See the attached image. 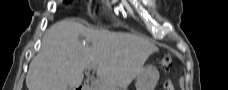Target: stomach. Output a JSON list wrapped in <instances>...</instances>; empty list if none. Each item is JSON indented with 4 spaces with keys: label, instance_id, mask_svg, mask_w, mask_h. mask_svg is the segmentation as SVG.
Returning <instances> with one entry per match:
<instances>
[{
    "label": "stomach",
    "instance_id": "0dacf381",
    "mask_svg": "<svg viewBox=\"0 0 228 90\" xmlns=\"http://www.w3.org/2000/svg\"><path fill=\"white\" fill-rule=\"evenodd\" d=\"M158 78L159 72L155 66H145L138 75L136 90H153Z\"/></svg>",
    "mask_w": 228,
    "mask_h": 90
}]
</instances>
